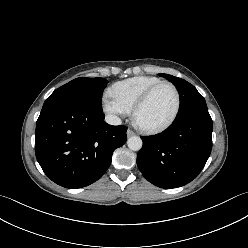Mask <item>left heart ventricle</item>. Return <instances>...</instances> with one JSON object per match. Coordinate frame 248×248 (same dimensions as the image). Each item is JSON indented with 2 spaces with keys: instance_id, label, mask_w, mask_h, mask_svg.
Returning a JSON list of instances; mask_svg holds the SVG:
<instances>
[{
  "instance_id": "1",
  "label": "left heart ventricle",
  "mask_w": 248,
  "mask_h": 248,
  "mask_svg": "<svg viewBox=\"0 0 248 248\" xmlns=\"http://www.w3.org/2000/svg\"><path fill=\"white\" fill-rule=\"evenodd\" d=\"M176 104L173 89L168 85L159 87L142 107L138 114L139 121L146 126H158L172 115Z\"/></svg>"
}]
</instances>
